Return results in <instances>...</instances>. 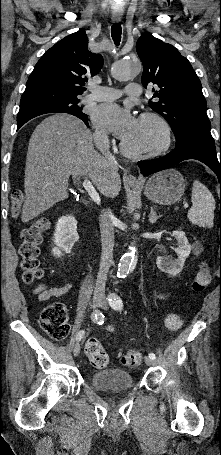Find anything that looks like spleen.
I'll return each mask as SVG.
<instances>
[{"instance_id":"1","label":"spleen","mask_w":221,"mask_h":455,"mask_svg":"<svg viewBox=\"0 0 221 455\" xmlns=\"http://www.w3.org/2000/svg\"><path fill=\"white\" fill-rule=\"evenodd\" d=\"M192 208L188 211L189 221L200 227H213L215 200L212 193L200 181L192 187Z\"/></svg>"}]
</instances>
